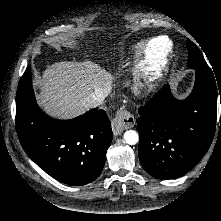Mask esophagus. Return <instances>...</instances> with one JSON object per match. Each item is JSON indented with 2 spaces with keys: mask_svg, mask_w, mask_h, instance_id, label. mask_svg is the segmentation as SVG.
Segmentation results:
<instances>
[{
  "mask_svg": "<svg viewBox=\"0 0 221 221\" xmlns=\"http://www.w3.org/2000/svg\"><path fill=\"white\" fill-rule=\"evenodd\" d=\"M111 125L114 135H120L125 129L132 128L135 125V118L127 110H120L111 121Z\"/></svg>",
  "mask_w": 221,
  "mask_h": 221,
  "instance_id": "1",
  "label": "esophagus"
}]
</instances>
